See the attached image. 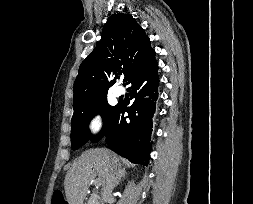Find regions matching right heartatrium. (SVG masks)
Returning a JSON list of instances; mask_svg holds the SVG:
<instances>
[{
  "label": "right heart atrium",
  "mask_w": 253,
  "mask_h": 204,
  "mask_svg": "<svg viewBox=\"0 0 253 204\" xmlns=\"http://www.w3.org/2000/svg\"><path fill=\"white\" fill-rule=\"evenodd\" d=\"M103 125V118L100 113H94L88 120L86 129L87 133L93 137L98 134Z\"/></svg>",
  "instance_id": "d8ad5b80"
}]
</instances>
